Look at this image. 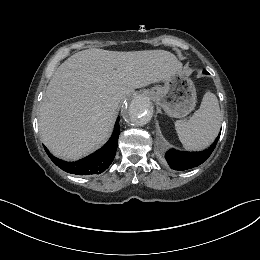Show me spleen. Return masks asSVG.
<instances>
[{"label":"spleen","mask_w":260,"mask_h":260,"mask_svg":"<svg viewBox=\"0 0 260 260\" xmlns=\"http://www.w3.org/2000/svg\"><path fill=\"white\" fill-rule=\"evenodd\" d=\"M222 120L218 99L207 91L200 108L189 120H177L175 130L182 145L187 150H202L217 137Z\"/></svg>","instance_id":"obj_1"}]
</instances>
